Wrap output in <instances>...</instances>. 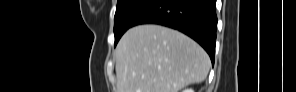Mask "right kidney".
<instances>
[{
    "instance_id": "ca27d5eb",
    "label": "right kidney",
    "mask_w": 296,
    "mask_h": 92,
    "mask_svg": "<svg viewBox=\"0 0 296 92\" xmlns=\"http://www.w3.org/2000/svg\"><path fill=\"white\" fill-rule=\"evenodd\" d=\"M183 92H194L192 89H185Z\"/></svg>"
}]
</instances>
